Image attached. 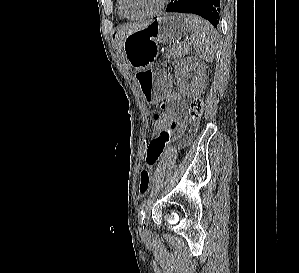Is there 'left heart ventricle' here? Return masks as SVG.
Wrapping results in <instances>:
<instances>
[{
  "label": "left heart ventricle",
  "mask_w": 299,
  "mask_h": 273,
  "mask_svg": "<svg viewBox=\"0 0 299 273\" xmlns=\"http://www.w3.org/2000/svg\"><path fill=\"white\" fill-rule=\"evenodd\" d=\"M161 0H124V8L128 14L140 15L153 10Z\"/></svg>",
  "instance_id": "b2bd125f"
}]
</instances>
